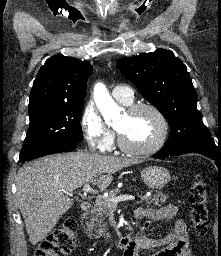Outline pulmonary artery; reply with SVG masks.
Wrapping results in <instances>:
<instances>
[{
  "instance_id": "pulmonary-artery-1",
  "label": "pulmonary artery",
  "mask_w": 221,
  "mask_h": 256,
  "mask_svg": "<svg viewBox=\"0 0 221 256\" xmlns=\"http://www.w3.org/2000/svg\"><path fill=\"white\" fill-rule=\"evenodd\" d=\"M113 97L123 103L130 104L133 101V91L125 85H117L112 90Z\"/></svg>"
}]
</instances>
